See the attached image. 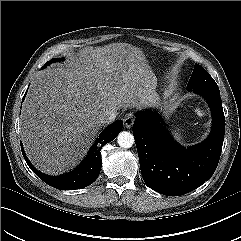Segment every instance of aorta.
I'll list each match as a JSON object with an SVG mask.
<instances>
[{
	"mask_svg": "<svg viewBox=\"0 0 241 241\" xmlns=\"http://www.w3.org/2000/svg\"><path fill=\"white\" fill-rule=\"evenodd\" d=\"M117 142L122 148H130L134 144V137L130 132L122 131L117 136Z\"/></svg>",
	"mask_w": 241,
	"mask_h": 241,
	"instance_id": "obj_1",
	"label": "aorta"
}]
</instances>
